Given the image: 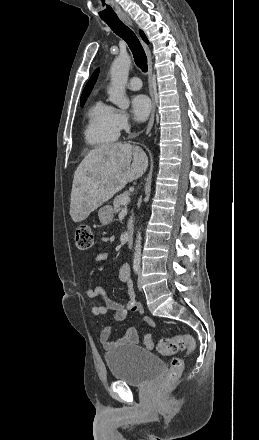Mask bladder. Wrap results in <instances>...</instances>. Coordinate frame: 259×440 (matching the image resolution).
<instances>
[{
    "mask_svg": "<svg viewBox=\"0 0 259 440\" xmlns=\"http://www.w3.org/2000/svg\"><path fill=\"white\" fill-rule=\"evenodd\" d=\"M105 361L114 379L134 386L146 385L165 369L161 358L133 344L107 352Z\"/></svg>",
    "mask_w": 259,
    "mask_h": 440,
    "instance_id": "31cf9c89",
    "label": "bladder"
}]
</instances>
